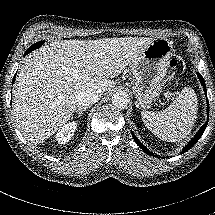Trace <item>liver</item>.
Wrapping results in <instances>:
<instances>
[{
  "instance_id": "1",
  "label": "liver",
  "mask_w": 215,
  "mask_h": 215,
  "mask_svg": "<svg viewBox=\"0 0 215 215\" xmlns=\"http://www.w3.org/2000/svg\"><path fill=\"white\" fill-rule=\"evenodd\" d=\"M148 37L54 41L26 56L13 88L12 114L33 145L50 138L76 111L80 92H107L152 43Z\"/></svg>"
}]
</instances>
